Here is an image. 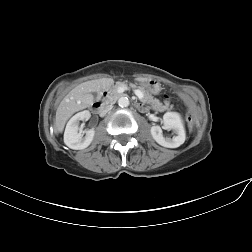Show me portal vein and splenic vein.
Masks as SVG:
<instances>
[{
	"label": "portal vein and splenic vein",
	"mask_w": 252,
	"mask_h": 252,
	"mask_svg": "<svg viewBox=\"0 0 252 252\" xmlns=\"http://www.w3.org/2000/svg\"><path fill=\"white\" fill-rule=\"evenodd\" d=\"M135 94L138 96L139 99H142L143 98V93L139 90H136L135 91Z\"/></svg>",
	"instance_id": "1"
}]
</instances>
